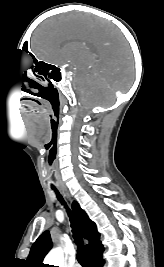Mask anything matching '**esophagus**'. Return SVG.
Returning a JSON list of instances; mask_svg holds the SVG:
<instances>
[{"instance_id": "obj_1", "label": "esophagus", "mask_w": 164, "mask_h": 267, "mask_svg": "<svg viewBox=\"0 0 164 267\" xmlns=\"http://www.w3.org/2000/svg\"><path fill=\"white\" fill-rule=\"evenodd\" d=\"M63 192L67 197H69V194H68V192L66 190H63Z\"/></svg>"}]
</instances>
